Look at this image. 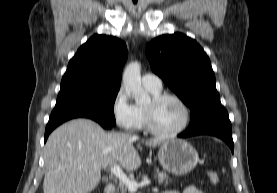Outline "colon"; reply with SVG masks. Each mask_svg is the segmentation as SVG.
<instances>
[{"mask_svg": "<svg viewBox=\"0 0 277 193\" xmlns=\"http://www.w3.org/2000/svg\"><path fill=\"white\" fill-rule=\"evenodd\" d=\"M207 176H208L209 182L212 185H219L220 184V175L218 174V172L212 171V170L208 171Z\"/></svg>", "mask_w": 277, "mask_h": 193, "instance_id": "colon-1", "label": "colon"}]
</instances>
